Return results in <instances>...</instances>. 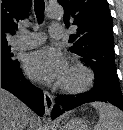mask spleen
<instances>
[{
    "mask_svg": "<svg viewBox=\"0 0 123 130\" xmlns=\"http://www.w3.org/2000/svg\"><path fill=\"white\" fill-rule=\"evenodd\" d=\"M92 106L99 113L94 130H123V115L116 107L102 102L92 103Z\"/></svg>",
    "mask_w": 123,
    "mask_h": 130,
    "instance_id": "spleen-1",
    "label": "spleen"
}]
</instances>
